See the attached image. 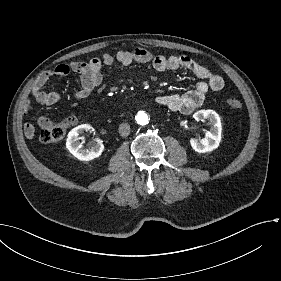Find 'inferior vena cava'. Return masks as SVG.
Returning <instances> with one entry per match:
<instances>
[{
  "mask_svg": "<svg viewBox=\"0 0 281 281\" xmlns=\"http://www.w3.org/2000/svg\"><path fill=\"white\" fill-rule=\"evenodd\" d=\"M118 131H119V134L121 136H128L129 133H130V126H129V124H127V123L120 124L119 128H118Z\"/></svg>",
  "mask_w": 281,
  "mask_h": 281,
  "instance_id": "602c4592",
  "label": "inferior vena cava"
}]
</instances>
